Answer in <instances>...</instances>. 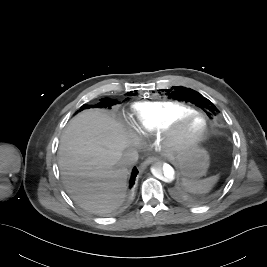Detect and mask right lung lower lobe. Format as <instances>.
<instances>
[{
	"label": "right lung lower lobe",
	"instance_id": "98d812e1",
	"mask_svg": "<svg viewBox=\"0 0 267 267\" xmlns=\"http://www.w3.org/2000/svg\"><path fill=\"white\" fill-rule=\"evenodd\" d=\"M137 174H138V170H137V168L135 167V168L133 169V172H132V175H131V179H130V187H132V186L134 185V183H135V178H136Z\"/></svg>",
	"mask_w": 267,
	"mask_h": 267
}]
</instances>
